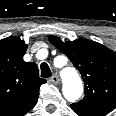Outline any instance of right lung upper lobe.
<instances>
[{
    "label": "right lung upper lobe",
    "mask_w": 116,
    "mask_h": 116,
    "mask_svg": "<svg viewBox=\"0 0 116 116\" xmlns=\"http://www.w3.org/2000/svg\"><path fill=\"white\" fill-rule=\"evenodd\" d=\"M28 45L14 36L0 40V116H23L37 103L40 85L38 67L25 62Z\"/></svg>",
    "instance_id": "cb5924a9"
}]
</instances>
